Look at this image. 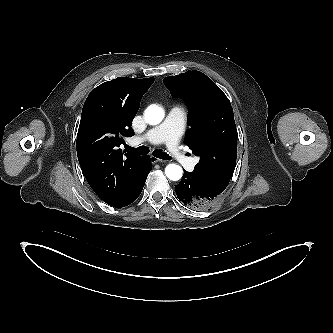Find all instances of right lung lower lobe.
I'll list each match as a JSON object with an SVG mask.
<instances>
[{"label":"right lung lower lobe","mask_w":333,"mask_h":333,"mask_svg":"<svg viewBox=\"0 0 333 333\" xmlns=\"http://www.w3.org/2000/svg\"><path fill=\"white\" fill-rule=\"evenodd\" d=\"M151 168L152 164L150 158L144 156L132 176L128 192L120 202L114 205V207L127 206L139 197Z\"/></svg>","instance_id":"right-lung-lower-lobe-1"}]
</instances>
